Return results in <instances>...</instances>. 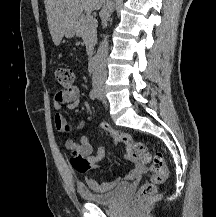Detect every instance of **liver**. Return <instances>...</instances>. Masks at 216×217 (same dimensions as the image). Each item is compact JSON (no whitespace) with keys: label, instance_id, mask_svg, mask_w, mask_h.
<instances>
[{"label":"liver","instance_id":"obj_1","mask_svg":"<svg viewBox=\"0 0 216 217\" xmlns=\"http://www.w3.org/2000/svg\"><path fill=\"white\" fill-rule=\"evenodd\" d=\"M105 0H44L49 31L58 46L83 11L99 10Z\"/></svg>","mask_w":216,"mask_h":217}]
</instances>
